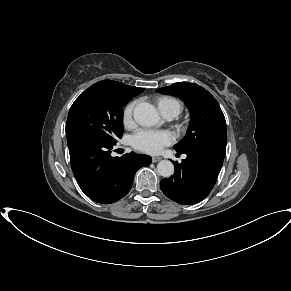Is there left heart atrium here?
<instances>
[{
    "label": "left heart atrium",
    "mask_w": 291,
    "mask_h": 291,
    "mask_svg": "<svg viewBox=\"0 0 291 291\" xmlns=\"http://www.w3.org/2000/svg\"><path fill=\"white\" fill-rule=\"evenodd\" d=\"M174 135L166 130L140 129L132 136V145L137 150L157 154L174 142Z\"/></svg>",
    "instance_id": "left-heart-atrium-1"
}]
</instances>
